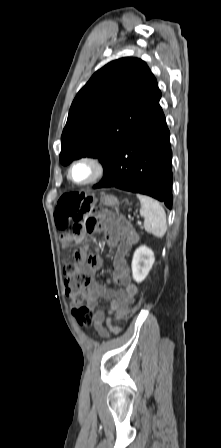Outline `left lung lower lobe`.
Returning <instances> with one entry per match:
<instances>
[{"label": "left lung lower lobe", "instance_id": "1", "mask_svg": "<svg viewBox=\"0 0 221 448\" xmlns=\"http://www.w3.org/2000/svg\"><path fill=\"white\" fill-rule=\"evenodd\" d=\"M160 98L122 140L94 188L116 187L156 198L172 208L170 132Z\"/></svg>", "mask_w": 221, "mask_h": 448}]
</instances>
